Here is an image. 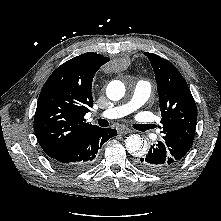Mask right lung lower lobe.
Instances as JSON below:
<instances>
[{
  "label": "right lung lower lobe",
  "mask_w": 221,
  "mask_h": 221,
  "mask_svg": "<svg viewBox=\"0 0 221 221\" xmlns=\"http://www.w3.org/2000/svg\"><path fill=\"white\" fill-rule=\"evenodd\" d=\"M117 131L110 128H95L51 157L53 163L67 172H82L91 168L98 159L102 145Z\"/></svg>",
  "instance_id": "98d812e1"
}]
</instances>
